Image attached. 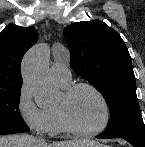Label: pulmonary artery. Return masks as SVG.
<instances>
[{
  "label": "pulmonary artery",
  "mask_w": 145,
  "mask_h": 147,
  "mask_svg": "<svg viewBox=\"0 0 145 147\" xmlns=\"http://www.w3.org/2000/svg\"><path fill=\"white\" fill-rule=\"evenodd\" d=\"M52 78L61 84H67L71 80V71L66 63L56 61L50 68Z\"/></svg>",
  "instance_id": "obj_1"
}]
</instances>
